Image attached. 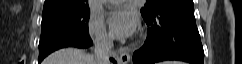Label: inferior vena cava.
Wrapping results in <instances>:
<instances>
[{
	"label": "inferior vena cava",
	"instance_id": "inferior-vena-cava-1",
	"mask_svg": "<svg viewBox=\"0 0 242 64\" xmlns=\"http://www.w3.org/2000/svg\"><path fill=\"white\" fill-rule=\"evenodd\" d=\"M95 59L97 64H110L109 53L113 48V41L105 36L101 35L95 40Z\"/></svg>",
	"mask_w": 242,
	"mask_h": 64
}]
</instances>
